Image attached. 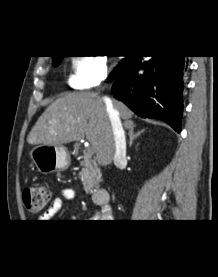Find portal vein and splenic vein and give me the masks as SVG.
I'll use <instances>...</instances> for the list:
<instances>
[{
    "label": "portal vein and splenic vein",
    "instance_id": "18ae733b",
    "mask_svg": "<svg viewBox=\"0 0 218 277\" xmlns=\"http://www.w3.org/2000/svg\"><path fill=\"white\" fill-rule=\"evenodd\" d=\"M94 152H95V151H94L93 147H91V146H88V147H87V154H88V156L93 155Z\"/></svg>",
    "mask_w": 218,
    "mask_h": 277
}]
</instances>
